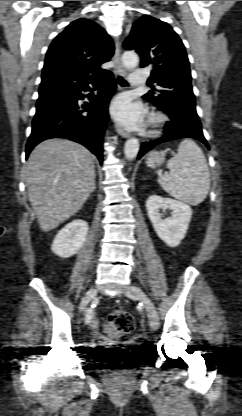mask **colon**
Wrapping results in <instances>:
<instances>
[{"label": "colon", "mask_w": 242, "mask_h": 416, "mask_svg": "<svg viewBox=\"0 0 242 416\" xmlns=\"http://www.w3.org/2000/svg\"><path fill=\"white\" fill-rule=\"evenodd\" d=\"M106 326L110 335L122 336L133 331L135 321L130 313L117 310L109 315Z\"/></svg>", "instance_id": "5ec220e1"}]
</instances>
